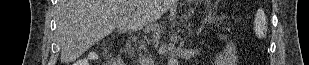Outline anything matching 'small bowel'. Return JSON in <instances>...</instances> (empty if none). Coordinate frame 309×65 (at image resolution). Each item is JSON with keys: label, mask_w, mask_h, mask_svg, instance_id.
Wrapping results in <instances>:
<instances>
[{"label": "small bowel", "mask_w": 309, "mask_h": 65, "mask_svg": "<svg viewBox=\"0 0 309 65\" xmlns=\"http://www.w3.org/2000/svg\"><path fill=\"white\" fill-rule=\"evenodd\" d=\"M83 63H87L86 61H82Z\"/></svg>", "instance_id": "1"}]
</instances>
